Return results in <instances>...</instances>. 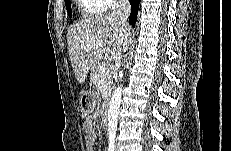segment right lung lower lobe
Masks as SVG:
<instances>
[{"label":"right lung lower lobe","mask_w":231,"mask_h":151,"mask_svg":"<svg viewBox=\"0 0 231 151\" xmlns=\"http://www.w3.org/2000/svg\"><path fill=\"white\" fill-rule=\"evenodd\" d=\"M131 4V14L129 17L130 24L134 27L137 19L139 0H129Z\"/></svg>","instance_id":"obj_1"}]
</instances>
